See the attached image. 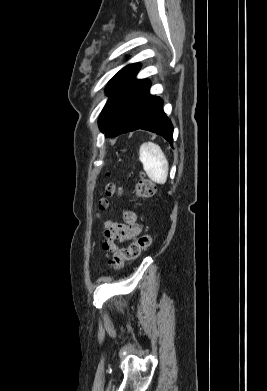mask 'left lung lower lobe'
<instances>
[{
  "mask_svg": "<svg viewBox=\"0 0 267 391\" xmlns=\"http://www.w3.org/2000/svg\"><path fill=\"white\" fill-rule=\"evenodd\" d=\"M150 82L142 80L119 104L106 136L113 137L137 129L161 135L173 144V125L162 110L163 100L149 94Z\"/></svg>",
  "mask_w": 267,
  "mask_h": 391,
  "instance_id": "0a47b994",
  "label": "left lung lower lobe"
}]
</instances>
